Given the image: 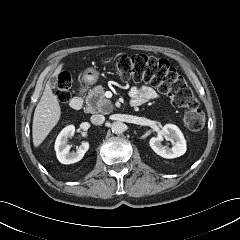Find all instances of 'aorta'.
<instances>
[{"label":"aorta","mask_w":240,"mask_h":240,"mask_svg":"<svg viewBox=\"0 0 240 240\" xmlns=\"http://www.w3.org/2000/svg\"><path fill=\"white\" fill-rule=\"evenodd\" d=\"M126 125L121 121H116L112 124L111 130L115 134H121L125 131Z\"/></svg>","instance_id":"aorta-1"}]
</instances>
